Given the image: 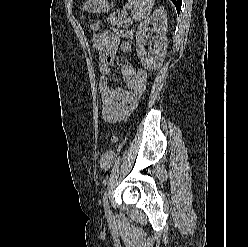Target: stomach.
<instances>
[{
  "mask_svg": "<svg viewBox=\"0 0 248 247\" xmlns=\"http://www.w3.org/2000/svg\"><path fill=\"white\" fill-rule=\"evenodd\" d=\"M83 9L91 13H104L109 10L108 0H87Z\"/></svg>",
  "mask_w": 248,
  "mask_h": 247,
  "instance_id": "0dacf381",
  "label": "stomach"
}]
</instances>
